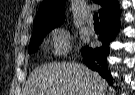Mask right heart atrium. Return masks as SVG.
Here are the masks:
<instances>
[{
    "label": "right heart atrium",
    "instance_id": "obj_1",
    "mask_svg": "<svg viewBox=\"0 0 135 95\" xmlns=\"http://www.w3.org/2000/svg\"><path fill=\"white\" fill-rule=\"evenodd\" d=\"M73 44V37L65 28H56L51 33L52 52L57 56L66 55Z\"/></svg>",
    "mask_w": 135,
    "mask_h": 95
}]
</instances>
